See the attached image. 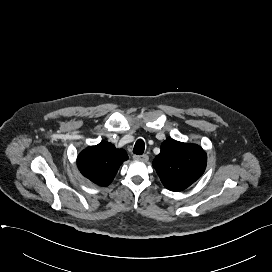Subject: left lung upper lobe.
Segmentation results:
<instances>
[{"label": "left lung upper lobe", "instance_id": "obj_1", "mask_svg": "<svg viewBox=\"0 0 272 272\" xmlns=\"http://www.w3.org/2000/svg\"><path fill=\"white\" fill-rule=\"evenodd\" d=\"M207 155L196 144L165 140L160 154L153 160L163 185L175 192L182 191L198 180L205 171Z\"/></svg>", "mask_w": 272, "mask_h": 272}]
</instances>
